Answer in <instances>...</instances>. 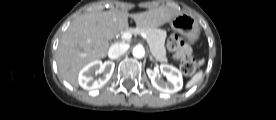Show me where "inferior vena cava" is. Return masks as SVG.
<instances>
[{
  "mask_svg": "<svg viewBox=\"0 0 276 120\" xmlns=\"http://www.w3.org/2000/svg\"><path fill=\"white\" fill-rule=\"evenodd\" d=\"M129 49V45L125 43H115L113 44L108 52L110 59H117L123 55Z\"/></svg>",
  "mask_w": 276,
  "mask_h": 120,
  "instance_id": "602c4592",
  "label": "inferior vena cava"
}]
</instances>
